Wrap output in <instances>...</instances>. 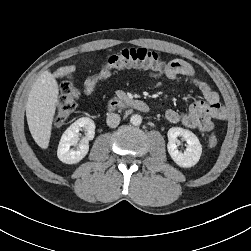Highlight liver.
Instances as JSON below:
<instances>
[{"instance_id":"1","label":"liver","mask_w":251,"mask_h":251,"mask_svg":"<svg viewBox=\"0 0 251 251\" xmlns=\"http://www.w3.org/2000/svg\"><path fill=\"white\" fill-rule=\"evenodd\" d=\"M58 94V83L49 70L36 79L29 92L26 104L27 123L34 141L42 149L49 146Z\"/></svg>"}]
</instances>
